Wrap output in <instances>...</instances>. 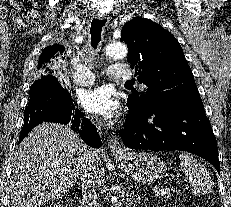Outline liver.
<instances>
[{
	"label": "liver",
	"mask_w": 231,
	"mask_h": 207,
	"mask_svg": "<svg viewBox=\"0 0 231 207\" xmlns=\"http://www.w3.org/2000/svg\"><path fill=\"white\" fill-rule=\"evenodd\" d=\"M87 152L69 126L44 122L35 127L12 158L11 207H40L68 193L87 166ZM93 166L95 183L101 186L104 168Z\"/></svg>",
	"instance_id": "obj_1"
}]
</instances>
